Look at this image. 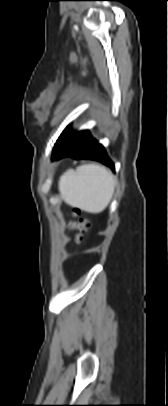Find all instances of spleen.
Masks as SVG:
<instances>
[{"label":"spleen","mask_w":168,"mask_h":406,"mask_svg":"<svg viewBox=\"0 0 168 406\" xmlns=\"http://www.w3.org/2000/svg\"><path fill=\"white\" fill-rule=\"evenodd\" d=\"M116 183L117 180L107 168L87 164L63 173L59 180V192L68 205L97 214L110 203Z\"/></svg>","instance_id":"1"}]
</instances>
